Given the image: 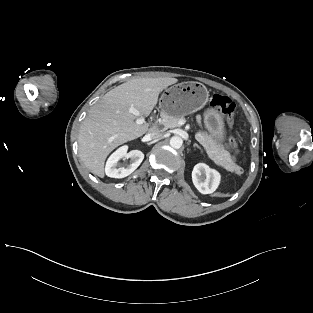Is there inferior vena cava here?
Here are the masks:
<instances>
[{"instance_id": "inferior-vena-cava-1", "label": "inferior vena cava", "mask_w": 313, "mask_h": 313, "mask_svg": "<svg viewBox=\"0 0 313 313\" xmlns=\"http://www.w3.org/2000/svg\"><path fill=\"white\" fill-rule=\"evenodd\" d=\"M163 133L161 131L158 130H152L148 133V137L150 139H156V138H160L162 137Z\"/></svg>"}]
</instances>
